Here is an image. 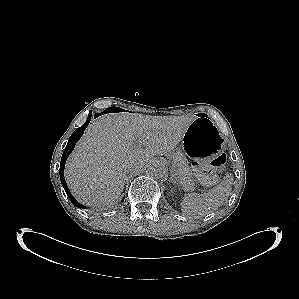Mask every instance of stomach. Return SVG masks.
<instances>
[{
	"label": "stomach",
	"instance_id": "1",
	"mask_svg": "<svg viewBox=\"0 0 299 299\" xmlns=\"http://www.w3.org/2000/svg\"><path fill=\"white\" fill-rule=\"evenodd\" d=\"M223 141L218 128L210 118L204 115L196 116L184 134V152L194 162L208 163L223 150Z\"/></svg>",
	"mask_w": 299,
	"mask_h": 299
}]
</instances>
